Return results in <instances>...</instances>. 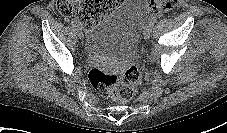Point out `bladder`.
Wrapping results in <instances>:
<instances>
[{
    "label": "bladder",
    "instance_id": "31cf9c89",
    "mask_svg": "<svg viewBox=\"0 0 227 133\" xmlns=\"http://www.w3.org/2000/svg\"><path fill=\"white\" fill-rule=\"evenodd\" d=\"M148 14V0H124L89 31L84 54L90 58L133 59Z\"/></svg>",
    "mask_w": 227,
    "mask_h": 133
}]
</instances>
